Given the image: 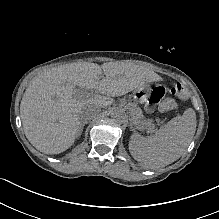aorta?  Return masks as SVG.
<instances>
[{"instance_id": "obj_1", "label": "aorta", "mask_w": 219, "mask_h": 219, "mask_svg": "<svg viewBox=\"0 0 219 219\" xmlns=\"http://www.w3.org/2000/svg\"><path fill=\"white\" fill-rule=\"evenodd\" d=\"M110 117L117 124H123L127 122V115L120 107H112L110 110Z\"/></svg>"}]
</instances>
